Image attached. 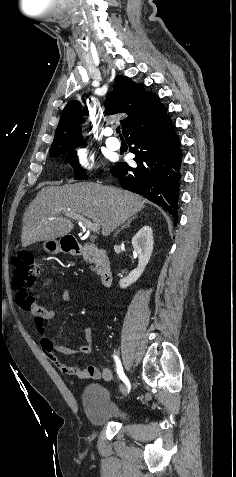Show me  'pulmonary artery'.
<instances>
[{
  "label": "pulmonary artery",
  "instance_id": "pulmonary-artery-1",
  "mask_svg": "<svg viewBox=\"0 0 236 477\" xmlns=\"http://www.w3.org/2000/svg\"><path fill=\"white\" fill-rule=\"evenodd\" d=\"M104 134L107 136L106 141H105L106 145L110 149L117 150V149L120 148V143H119L118 139L111 136V134H112V129L111 128L105 129Z\"/></svg>",
  "mask_w": 236,
  "mask_h": 477
}]
</instances>
